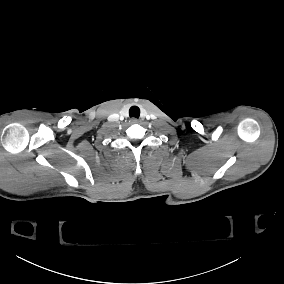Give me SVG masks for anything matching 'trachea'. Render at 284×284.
I'll list each match as a JSON object with an SVG mask.
<instances>
[{
  "mask_svg": "<svg viewBox=\"0 0 284 284\" xmlns=\"http://www.w3.org/2000/svg\"><path fill=\"white\" fill-rule=\"evenodd\" d=\"M130 117L139 118L140 116V109L137 106H132L129 110Z\"/></svg>",
  "mask_w": 284,
  "mask_h": 284,
  "instance_id": "3493384b",
  "label": "trachea"
}]
</instances>
